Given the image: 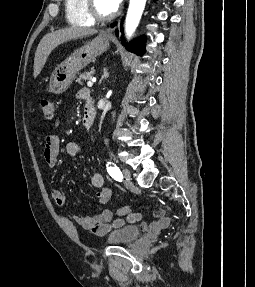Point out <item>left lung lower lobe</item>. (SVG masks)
I'll use <instances>...</instances> for the list:
<instances>
[{
	"label": "left lung lower lobe",
	"mask_w": 255,
	"mask_h": 287,
	"mask_svg": "<svg viewBox=\"0 0 255 287\" xmlns=\"http://www.w3.org/2000/svg\"><path fill=\"white\" fill-rule=\"evenodd\" d=\"M115 25H116V22L111 24V27H114ZM116 35L118 36V31H116ZM121 40H122L123 44L127 47V49L130 50L131 52H134L140 56L145 53V45H144L145 38L144 37H141L137 40H134V41L130 42L129 44H126L124 42L123 37H121Z\"/></svg>",
	"instance_id": "0a47b994"
}]
</instances>
